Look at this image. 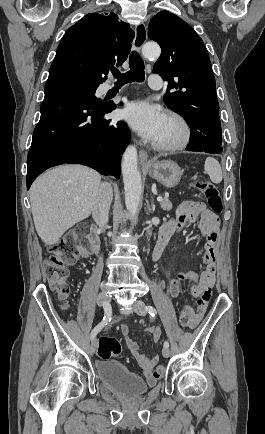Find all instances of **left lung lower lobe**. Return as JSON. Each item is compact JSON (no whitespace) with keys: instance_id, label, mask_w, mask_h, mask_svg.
I'll return each mask as SVG.
<instances>
[{"instance_id":"1","label":"left lung lower lobe","mask_w":265,"mask_h":434,"mask_svg":"<svg viewBox=\"0 0 265 434\" xmlns=\"http://www.w3.org/2000/svg\"><path fill=\"white\" fill-rule=\"evenodd\" d=\"M186 150L218 154L223 151L222 138L192 132Z\"/></svg>"}]
</instances>
